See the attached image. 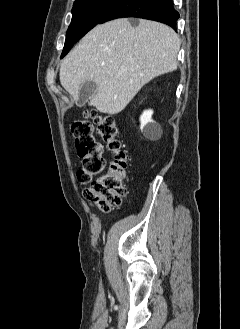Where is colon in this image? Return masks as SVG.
Listing matches in <instances>:
<instances>
[{
    "mask_svg": "<svg viewBox=\"0 0 240 329\" xmlns=\"http://www.w3.org/2000/svg\"><path fill=\"white\" fill-rule=\"evenodd\" d=\"M97 131L114 159L109 167L85 192V198L100 211L109 212L119 207L126 195L128 157L123 150L119 137L118 126L114 116L91 112ZM75 146L80 159L77 177L80 182L92 181L104 168L102 147L93 137V127L87 119L75 120L71 125Z\"/></svg>",
    "mask_w": 240,
    "mask_h": 329,
    "instance_id": "obj_1",
    "label": "colon"
}]
</instances>
